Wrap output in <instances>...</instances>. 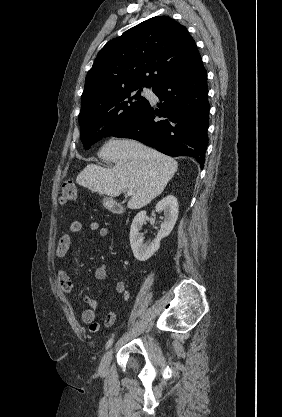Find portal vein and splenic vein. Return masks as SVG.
I'll return each instance as SVG.
<instances>
[{"instance_id":"obj_1","label":"portal vein and splenic vein","mask_w":282,"mask_h":417,"mask_svg":"<svg viewBox=\"0 0 282 417\" xmlns=\"http://www.w3.org/2000/svg\"><path fill=\"white\" fill-rule=\"evenodd\" d=\"M127 194L130 196V194H133V190H128Z\"/></svg>"}]
</instances>
